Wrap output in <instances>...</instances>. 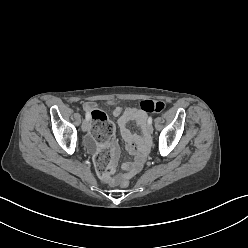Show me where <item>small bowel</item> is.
<instances>
[{"instance_id":"obj_1","label":"small bowel","mask_w":248,"mask_h":248,"mask_svg":"<svg viewBox=\"0 0 248 248\" xmlns=\"http://www.w3.org/2000/svg\"><path fill=\"white\" fill-rule=\"evenodd\" d=\"M96 109V104L93 102H87L84 105V110L86 113H91L92 110ZM112 114L114 117L118 118V126L120 129L121 136L123 140L126 142L127 149L129 153L132 155V161H126L122 164V169L128 174L133 175L138 172L143 164L144 157L147 152V139L145 135H139L133 133L128 128L129 123L134 122L136 125L142 130L145 134L147 129L148 122V114L140 110L139 108H127L123 109L122 106H115L112 110ZM87 145L90 149H95L97 144L92 136H88ZM112 152L113 156V164L116 165L117 158L119 156V150L115 140H111L109 144H107Z\"/></svg>"}]
</instances>
